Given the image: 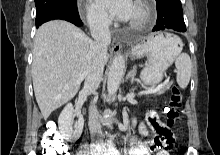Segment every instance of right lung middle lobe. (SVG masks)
Returning <instances> with one entry per match:
<instances>
[{"mask_svg": "<svg viewBox=\"0 0 220 155\" xmlns=\"http://www.w3.org/2000/svg\"><path fill=\"white\" fill-rule=\"evenodd\" d=\"M37 15L54 9L77 11V0H35Z\"/></svg>", "mask_w": 220, "mask_h": 155, "instance_id": "1", "label": "right lung middle lobe"}]
</instances>
